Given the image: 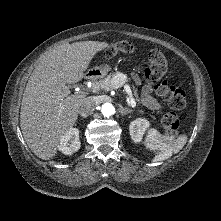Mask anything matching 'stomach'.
I'll use <instances>...</instances> for the list:
<instances>
[{
  "mask_svg": "<svg viewBox=\"0 0 221 221\" xmlns=\"http://www.w3.org/2000/svg\"><path fill=\"white\" fill-rule=\"evenodd\" d=\"M111 70V66L109 64H102L99 67L94 69L96 74H100L101 76H105Z\"/></svg>",
  "mask_w": 221,
  "mask_h": 221,
  "instance_id": "obj_1",
  "label": "stomach"
}]
</instances>
